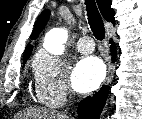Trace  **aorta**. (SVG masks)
I'll list each match as a JSON object with an SVG mask.
<instances>
[{
    "label": "aorta",
    "mask_w": 142,
    "mask_h": 119,
    "mask_svg": "<svg viewBox=\"0 0 142 119\" xmlns=\"http://www.w3.org/2000/svg\"><path fill=\"white\" fill-rule=\"evenodd\" d=\"M67 38L68 31L65 28H54L46 34L44 47L50 54L61 55Z\"/></svg>",
    "instance_id": "obj_1"
}]
</instances>
